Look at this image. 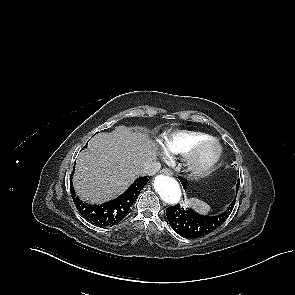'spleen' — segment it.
Masks as SVG:
<instances>
[{"mask_svg": "<svg viewBox=\"0 0 295 295\" xmlns=\"http://www.w3.org/2000/svg\"><path fill=\"white\" fill-rule=\"evenodd\" d=\"M188 203L196 211H198L202 214L208 213L211 209L207 203L203 202L202 200L196 199V198H192Z\"/></svg>", "mask_w": 295, "mask_h": 295, "instance_id": "3e777b00", "label": "spleen"}]
</instances>
